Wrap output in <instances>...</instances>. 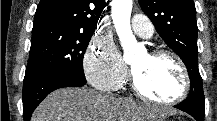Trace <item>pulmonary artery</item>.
Listing matches in <instances>:
<instances>
[{"label":"pulmonary artery","mask_w":217,"mask_h":121,"mask_svg":"<svg viewBox=\"0 0 217 121\" xmlns=\"http://www.w3.org/2000/svg\"><path fill=\"white\" fill-rule=\"evenodd\" d=\"M132 29L143 38H150L154 33V26L151 21L142 14H135L131 20Z\"/></svg>","instance_id":"1"}]
</instances>
